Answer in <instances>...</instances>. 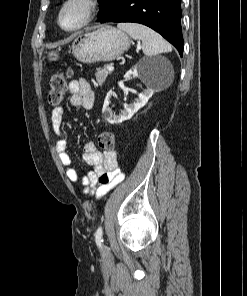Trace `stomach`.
<instances>
[{
    "label": "stomach",
    "mask_w": 247,
    "mask_h": 296,
    "mask_svg": "<svg viewBox=\"0 0 247 296\" xmlns=\"http://www.w3.org/2000/svg\"><path fill=\"white\" fill-rule=\"evenodd\" d=\"M131 45L129 37L112 26H102L95 31H86L77 35L72 43L74 57L86 64L112 61L126 52ZM49 61H57L59 52H45Z\"/></svg>",
    "instance_id": "1"
}]
</instances>
